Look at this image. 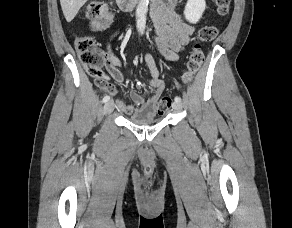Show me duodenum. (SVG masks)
Here are the masks:
<instances>
[{
    "mask_svg": "<svg viewBox=\"0 0 292 228\" xmlns=\"http://www.w3.org/2000/svg\"><path fill=\"white\" fill-rule=\"evenodd\" d=\"M137 0H118V5L123 11L131 10L136 4ZM153 4L158 3L160 0H152Z\"/></svg>",
    "mask_w": 292,
    "mask_h": 228,
    "instance_id": "410a0bca",
    "label": "duodenum"
}]
</instances>
